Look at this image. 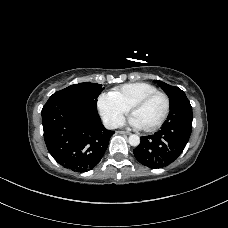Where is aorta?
Segmentation results:
<instances>
[{
	"label": "aorta",
	"mask_w": 228,
	"mask_h": 228,
	"mask_svg": "<svg viewBox=\"0 0 228 228\" xmlns=\"http://www.w3.org/2000/svg\"><path fill=\"white\" fill-rule=\"evenodd\" d=\"M128 142L131 146H138L140 144V137L138 135L132 134L129 136Z\"/></svg>",
	"instance_id": "aorta-1"
}]
</instances>
